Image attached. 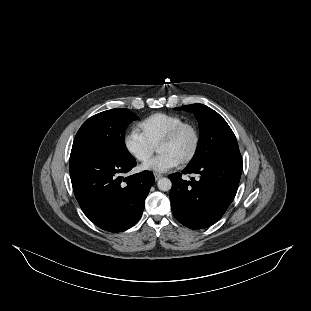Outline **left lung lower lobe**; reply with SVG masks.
<instances>
[{
  "mask_svg": "<svg viewBox=\"0 0 311 311\" xmlns=\"http://www.w3.org/2000/svg\"><path fill=\"white\" fill-rule=\"evenodd\" d=\"M242 166L241 154L229 153L182 171L200 174L199 180H183L180 173L169 175L175 218L191 229L207 228L217 222L236 195Z\"/></svg>",
  "mask_w": 311,
  "mask_h": 311,
  "instance_id": "obj_1",
  "label": "left lung lower lobe"
}]
</instances>
